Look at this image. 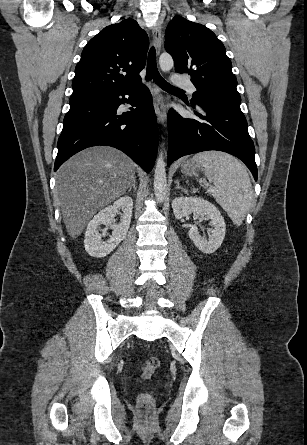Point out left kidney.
<instances>
[{"instance_id":"obj_1","label":"left kidney","mask_w":307,"mask_h":445,"mask_svg":"<svg viewBox=\"0 0 307 445\" xmlns=\"http://www.w3.org/2000/svg\"><path fill=\"white\" fill-rule=\"evenodd\" d=\"M172 208L176 218L188 216L191 212H197V214H201V216L210 218L213 229L208 241L205 237L199 235L196 227L190 229L188 233L191 241H193L199 251H202L205 255H210V253H215V251L221 247V243L225 237L226 227L220 210H218L212 202L204 200V198H198V196H176V198L172 200Z\"/></svg>"}]
</instances>
